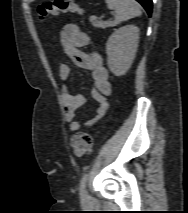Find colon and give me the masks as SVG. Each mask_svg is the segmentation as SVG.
Instances as JSON below:
<instances>
[{"instance_id":"obj_1","label":"colon","mask_w":188,"mask_h":213,"mask_svg":"<svg viewBox=\"0 0 188 213\" xmlns=\"http://www.w3.org/2000/svg\"><path fill=\"white\" fill-rule=\"evenodd\" d=\"M40 18L57 15L62 12L83 13V9L73 0H44L37 9ZM93 143V138L89 133L78 132L71 140V147L76 156L87 154Z\"/></svg>"}]
</instances>
